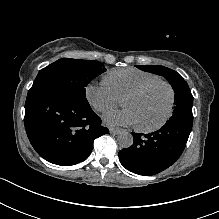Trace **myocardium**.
<instances>
[{"instance_id": "obj_1", "label": "myocardium", "mask_w": 219, "mask_h": 219, "mask_svg": "<svg viewBox=\"0 0 219 219\" xmlns=\"http://www.w3.org/2000/svg\"><path fill=\"white\" fill-rule=\"evenodd\" d=\"M158 84H163V85L167 86V88L169 89V92H170V102H169V106H168L166 115L164 116L163 120L160 123H158L157 125L150 126V127L138 125L137 129L141 132H145V133L154 132V131L160 130L161 128H163L167 124V122L169 121V119L172 116L174 105H175V98H176L175 90L170 82L163 80V79H157V80H153V81H149L147 83H144L143 85H141L138 88L134 89L133 91L129 92L124 97V99L136 97V96L142 94L143 92H145L147 89H149L155 85H158Z\"/></svg>"}]
</instances>
